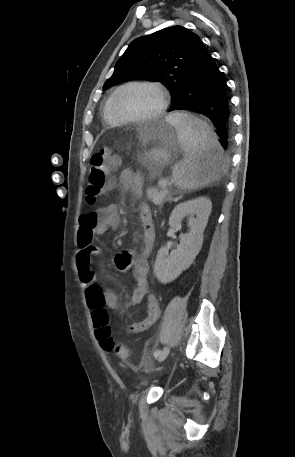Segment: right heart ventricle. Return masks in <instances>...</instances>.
<instances>
[{"instance_id": "1", "label": "right heart ventricle", "mask_w": 295, "mask_h": 457, "mask_svg": "<svg viewBox=\"0 0 295 457\" xmlns=\"http://www.w3.org/2000/svg\"><path fill=\"white\" fill-rule=\"evenodd\" d=\"M111 97H112V95H110L107 98V100L103 106V117L108 124L116 125L120 121L118 119H116L111 112V108H110Z\"/></svg>"}]
</instances>
